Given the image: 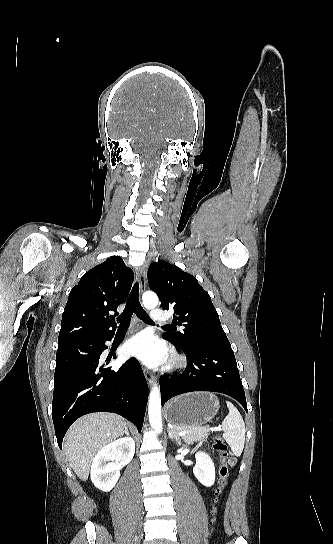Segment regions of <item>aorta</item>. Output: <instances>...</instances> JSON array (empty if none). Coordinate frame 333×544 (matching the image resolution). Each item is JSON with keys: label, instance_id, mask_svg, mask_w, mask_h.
Listing matches in <instances>:
<instances>
[{"label": "aorta", "instance_id": "obj_1", "mask_svg": "<svg viewBox=\"0 0 333 544\" xmlns=\"http://www.w3.org/2000/svg\"><path fill=\"white\" fill-rule=\"evenodd\" d=\"M143 304L148 309L158 305L159 299L156 293L147 291L142 296ZM149 422L156 433L162 432L161 396L157 386H154L149 394L148 404Z\"/></svg>", "mask_w": 333, "mask_h": 544}]
</instances>
